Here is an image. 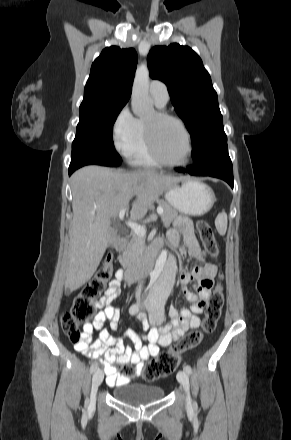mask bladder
Here are the masks:
<instances>
[{
	"mask_svg": "<svg viewBox=\"0 0 291 440\" xmlns=\"http://www.w3.org/2000/svg\"><path fill=\"white\" fill-rule=\"evenodd\" d=\"M112 395L123 403L145 405L161 400L165 391L157 385L134 383L113 388Z\"/></svg>",
	"mask_w": 291,
	"mask_h": 440,
	"instance_id": "obj_1",
	"label": "bladder"
}]
</instances>
